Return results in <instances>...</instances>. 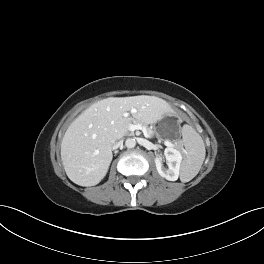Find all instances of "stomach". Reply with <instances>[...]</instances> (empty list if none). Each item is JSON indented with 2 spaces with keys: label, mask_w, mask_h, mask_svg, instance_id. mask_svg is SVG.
<instances>
[{
  "label": "stomach",
  "mask_w": 264,
  "mask_h": 264,
  "mask_svg": "<svg viewBox=\"0 0 264 264\" xmlns=\"http://www.w3.org/2000/svg\"><path fill=\"white\" fill-rule=\"evenodd\" d=\"M180 122L181 119L177 115L163 117L155 127L157 137L171 140L178 137L180 134Z\"/></svg>",
  "instance_id": "stomach-1"
}]
</instances>
